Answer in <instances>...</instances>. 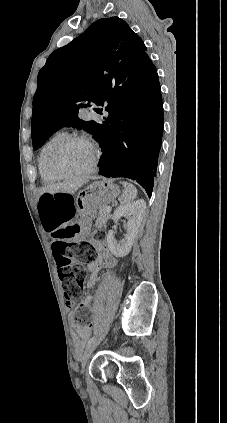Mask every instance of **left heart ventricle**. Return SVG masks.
<instances>
[{"label": "left heart ventricle", "mask_w": 227, "mask_h": 423, "mask_svg": "<svg viewBox=\"0 0 227 423\" xmlns=\"http://www.w3.org/2000/svg\"><path fill=\"white\" fill-rule=\"evenodd\" d=\"M94 150L84 143L68 145L59 155L60 164L71 173H81L90 167Z\"/></svg>", "instance_id": "b2bd125f"}]
</instances>
